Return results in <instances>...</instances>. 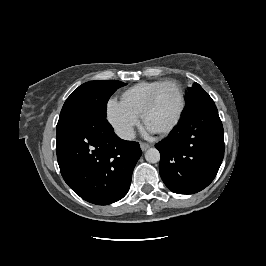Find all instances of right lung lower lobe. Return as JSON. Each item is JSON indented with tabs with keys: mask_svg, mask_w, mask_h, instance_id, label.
Wrapping results in <instances>:
<instances>
[{
	"mask_svg": "<svg viewBox=\"0 0 266 266\" xmlns=\"http://www.w3.org/2000/svg\"><path fill=\"white\" fill-rule=\"evenodd\" d=\"M61 175L82 199L107 205L122 199L142 151L117 137L105 119H91L56 141Z\"/></svg>",
	"mask_w": 266,
	"mask_h": 266,
	"instance_id": "obj_1",
	"label": "right lung lower lobe"
}]
</instances>
